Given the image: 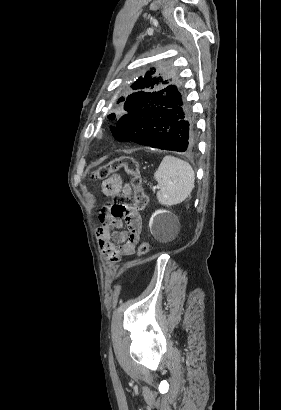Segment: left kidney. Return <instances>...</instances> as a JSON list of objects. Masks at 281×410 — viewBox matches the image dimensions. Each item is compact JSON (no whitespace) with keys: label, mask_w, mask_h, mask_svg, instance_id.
Returning <instances> with one entry per match:
<instances>
[{"label":"left kidney","mask_w":281,"mask_h":410,"mask_svg":"<svg viewBox=\"0 0 281 410\" xmlns=\"http://www.w3.org/2000/svg\"><path fill=\"white\" fill-rule=\"evenodd\" d=\"M166 213H169V211L167 210L155 211L150 218L149 227L151 228L154 222L159 223L161 225L172 223L173 219L167 216Z\"/></svg>","instance_id":"1"}]
</instances>
